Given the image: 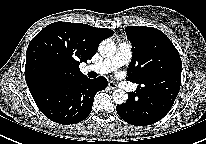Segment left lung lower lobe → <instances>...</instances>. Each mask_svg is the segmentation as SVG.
Masks as SVG:
<instances>
[{"mask_svg":"<svg viewBox=\"0 0 206 144\" xmlns=\"http://www.w3.org/2000/svg\"><path fill=\"white\" fill-rule=\"evenodd\" d=\"M178 92L179 90L172 86L153 90L139 84L136 92L128 94L125 104L117 105L116 111L131 125H151L170 111Z\"/></svg>","mask_w":206,"mask_h":144,"instance_id":"1","label":"left lung lower lobe"}]
</instances>
